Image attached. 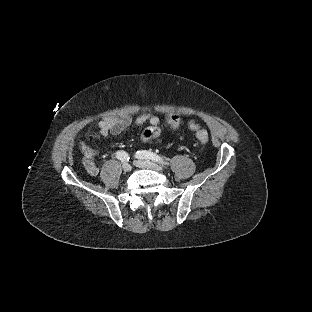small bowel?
I'll return each mask as SVG.
<instances>
[{
	"instance_id": "obj_1",
	"label": "small bowel",
	"mask_w": 312,
	"mask_h": 312,
	"mask_svg": "<svg viewBox=\"0 0 312 312\" xmlns=\"http://www.w3.org/2000/svg\"><path fill=\"white\" fill-rule=\"evenodd\" d=\"M132 122L133 120L129 115H124L121 117L109 116L100 120L97 126L99 133L102 136L118 135L126 130L132 124ZM146 122L149 124H160V118L152 113H144L134 120L136 125H142ZM188 128L191 131L196 132L201 127L195 120H190L188 122ZM79 149L82 153V162L86 172L91 176L98 175L99 166L95 162L96 151L84 141L80 142Z\"/></svg>"
}]
</instances>
